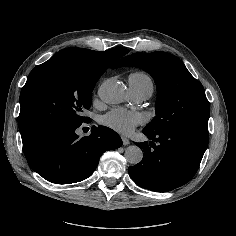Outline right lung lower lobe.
Wrapping results in <instances>:
<instances>
[{
  "label": "right lung lower lobe",
  "instance_id": "98d812e1",
  "mask_svg": "<svg viewBox=\"0 0 236 236\" xmlns=\"http://www.w3.org/2000/svg\"><path fill=\"white\" fill-rule=\"evenodd\" d=\"M80 126H53L23 142L30 167L52 183H76L93 173L105 151L122 146L120 136L105 126H93L89 136L79 138Z\"/></svg>",
  "mask_w": 236,
  "mask_h": 236
}]
</instances>
